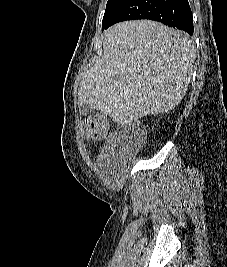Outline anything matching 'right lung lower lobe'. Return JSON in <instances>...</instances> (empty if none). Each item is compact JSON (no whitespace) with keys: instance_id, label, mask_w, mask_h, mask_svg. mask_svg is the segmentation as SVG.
<instances>
[{"instance_id":"1","label":"right lung lower lobe","mask_w":227,"mask_h":267,"mask_svg":"<svg viewBox=\"0 0 227 267\" xmlns=\"http://www.w3.org/2000/svg\"><path fill=\"white\" fill-rule=\"evenodd\" d=\"M134 19L158 21L190 35L194 32L188 0H127L102 31L115 23Z\"/></svg>"}]
</instances>
